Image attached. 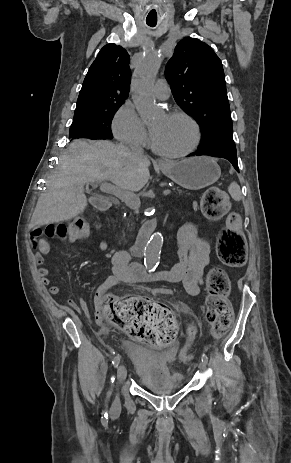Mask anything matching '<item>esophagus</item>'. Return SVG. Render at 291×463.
<instances>
[{
  "mask_svg": "<svg viewBox=\"0 0 291 463\" xmlns=\"http://www.w3.org/2000/svg\"><path fill=\"white\" fill-rule=\"evenodd\" d=\"M164 162L163 161H159V164H163Z\"/></svg>",
  "mask_w": 291,
  "mask_h": 463,
  "instance_id": "1",
  "label": "esophagus"
}]
</instances>
